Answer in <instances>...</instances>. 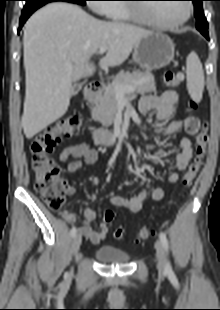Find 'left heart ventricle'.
Wrapping results in <instances>:
<instances>
[{
    "instance_id": "left-heart-ventricle-1",
    "label": "left heart ventricle",
    "mask_w": 220,
    "mask_h": 310,
    "mask_svg": "<svg viewBox=\"0 0 220 310\" xmlns=\"http://www.w3.org/2000/svg\"><path fill=\"white\" fill-rule=\"evenodd\" d=\"M152 16L163 22H176L180 20L186 13L185 3H166L157 4L147 8Z\"/></svg>"
}]
</instances>
